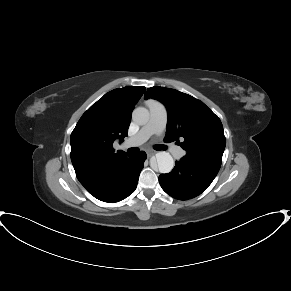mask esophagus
Segmentation results:
<instances>
[{
	"instance_id": "esophagus-1",
	"label": "esophagus",
	"mask_w": 291,
	"mask_h": 291,
	"mask_svg": "<svg viewBox=\"0 0 291 291\" xmlns=\"http://www.w3.org/2000/svg\"><path fill=\"white\" fill-rule=\"evenodd\" d=\"M155 154V151H153V150H148L147 151V156L148 157H150V156H152V155H154Z\"/></svg>"
}]
</instances>
